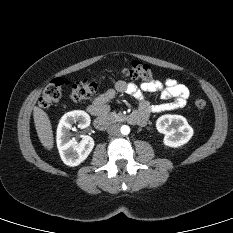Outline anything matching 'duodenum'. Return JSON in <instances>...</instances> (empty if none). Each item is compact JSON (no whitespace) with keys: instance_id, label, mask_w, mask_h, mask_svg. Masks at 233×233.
Returning <instances> with one entry per match:
<instances>
[{"instance_id":"duodenum-1","label":"duodenum","mask_w":233,"mask_h":233,"mask_svg":"<svg viewBox=\"0 0 233 233\" xmlns=\"http://www.w3.org/2000/svg\"><path fill=\"white\" fill-rule=\"evenodd\" d=\"M113 119V117L105 114L96 115L94 125L97 129L104 130L112 123ZM127 120L132 124L144 125L147 117L141 112H133L128 116Z\"/></svg>"}]
</instances>
